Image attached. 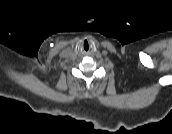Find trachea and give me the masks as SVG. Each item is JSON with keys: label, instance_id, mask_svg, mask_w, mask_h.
<instances>
[{"label": "trachea", "instance_id": "obj_1", "mask_svg": "<svg viewBox=\"0 0 172 134\" xmlns=\"http://www.w3.org/2000/svg\"><path fill=\"white\" fill-rule=\"evenodd\" d=\"M88 41L87 40H85V42H84V47H86L87 49H88Z\"/></svg>", "mask_w": 172, "mask_h": 134}]
</instances>
